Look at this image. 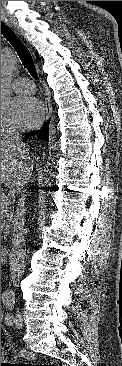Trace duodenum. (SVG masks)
Masks as SVG:
<instances>
[{
  "mask_svg": "<svg viewBox=\"0 0 122 366\" xmlns=\"http://www.w3.org/2000/svg\"><path fill=\"white\" fill-rule=\"evenodd\" d=\"M9 250L7 248H1V259L4 260V257L8 256Z\"/></svg>",
  "mask_w": 122,
  "mask_h": 366,
  "instance_id": "duodenum-1",
  "label": "duodenum"
}]
</instances>
